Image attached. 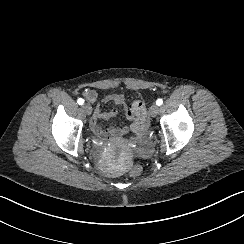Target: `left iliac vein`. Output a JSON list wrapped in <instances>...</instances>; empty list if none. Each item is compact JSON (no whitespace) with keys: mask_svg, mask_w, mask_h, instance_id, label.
<instances>
[{"mask_svg":"<svg viewBox=\"0 0 244 244\" xmlns=\"http://www.w3.org/2000/svg\"><path fill=\"white\" fill-rule=\"evenodd\" d=\"M149 113L151 116L155 117L158 115L159 113V107L157 105H152L150 108H149Z\"/></svg>","mask_w":244,"mask_h":244,"instance_id":"left-iliac-vein-1","label":"left iliac vein"}]
</instances>
